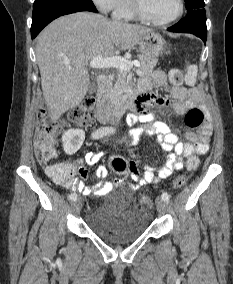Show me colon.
Instances as JSON below:
<instances>
[{
  "label": "colon",
  "instance_id": "obj_1",
  "mask_svg": "<svg viewBox=\"0 0 233 284\" xmlns=\"http://www.w3.org/2000/svg\"><path fill=\"white\" fill-rule=\"evenodd\" d=\"M169 80L173 85L183 83V73L179 69L169 71ZM96 109V102L93 97L85 98L82 103L71 109L64 120H56L51 117L48 107L43 104L38 111L36 137L34 143V152L37 160L41 163H48L56 157L55 140L61 130L69 125L85 127L91 122ZM205 121V114L199 107L190 108L185 115V125L188 128H198ZM199 166V160L196 156H190L187 159L186 167L188 171H194ZM110 167L118 175H125L128 171L129 162L121 156H114L110 160ZM187 182L185 176H179L174 185L176 188H182ZM142 203L148 207L152 205V198L145 196Z\"/></svg>",
  "mask_w": 233,
  "mask_h": 284
}]
</instances>
